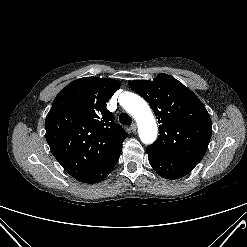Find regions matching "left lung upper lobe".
I'll list each match as a JSON object with an SVG mask.
<instances>
[{
	"mask_svg": "<svg viewBox=\"0 0 247 247\" xmlns=\"http://www.w3.org/2000/svg\"><path fill=\"white\" fill-rule=\"evenodd\" d=\"M128 85L148 101L160 123V135L149 147L178 160L199 163L212 135V122L199 98L163 73L153 81L134 80Z\"/></svg>",
	"mask_w": 247,
	"mask_h": 247,
	"instance_id": "left-lung-upper-lobe-1",
	"label": "left lung upper lobe"
}]
</instances>
